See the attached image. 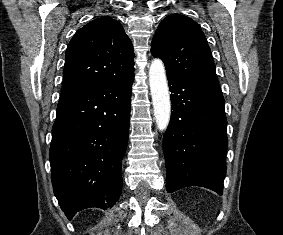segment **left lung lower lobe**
Here are the masks:
<instances>
[{
	"instance_id": "0a47b994",
	"label": "left lung lower lobe",
	"mask_w": 283,
	"mask_h": 235,
	"mask_svg": "<svg viewBox=\"0 0 283 235\" xmlns=\"http://www.w3.org/2000/svg\"><path fill=\"white\" fill-rule=\"evenodd\" d=\"M172 109L163 138L167 192L188 186L222 195L227 120L220 87L167 74Z\"/></svg>"
}]
</instances>
